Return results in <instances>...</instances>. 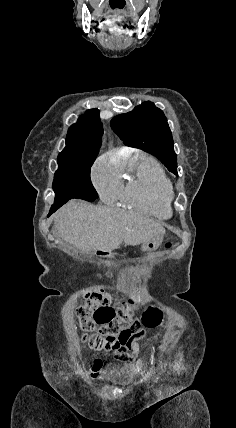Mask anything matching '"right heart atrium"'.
<instances>
[{
	"label": "right heart atrium",
	"instance_id": "right-heart-atrium-1",
	"mask_svg": "<svg viewBox=\"0 0 236 428\" xmlns=\"http://www.w3.org/2000/svg\"><path fill=\"white\" fill-rule=\"evenodd\" d=\"M91 181L104 203H112L120 197L122 191L120 174L105 158H100L92 166Z\"/></svg>",
	"mask_w": 236,
	"mask_h": 428
}]
</instances>
